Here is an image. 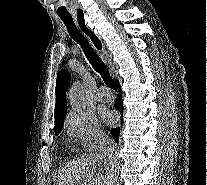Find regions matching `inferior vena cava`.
<instances>
[{"label": "inferior vena cava", "instance_id": "obj_1", "mask_svg": "<svg viewBox=\"0 0 207 185\" xmlns=\"http://www.w3.org/2000/svg\"><path fill=\"white\" fill-rule=\"evenodd\" d=\"M116 165H119L118 161H115ZM110 183L113 185V177H110Z\"/></svg>", "mask_w": 207, "mask_h": 185}]
</instances>
